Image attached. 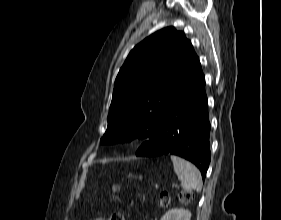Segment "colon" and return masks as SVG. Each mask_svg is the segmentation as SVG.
Returning <instances> with one entry per match:
<instances>
[{"mask_svg":"<svg viewBox=\"0 0 281 220\" xmlns=\"http://www.w3.org/2000/svg\"><path fill=\"white\" fill-rule=\"evenodd\" d=\"M118 191V187H114V192L116 193ZM114 199H116V195H114L113 197ZM179 200L182 203H189L192 201L193 199V194L189 191H183L180 192L178 195ZM158 201L160 203V205L162 206H166L169 204L170 202V196L167 192H161L158 194ZM108 220H124L123 216L120 214H113Z\"/></svg>","mask_w":281,"mask_h":220,"instance_id":"colon-1","label":"colon"}]
</instances>
